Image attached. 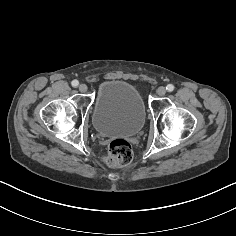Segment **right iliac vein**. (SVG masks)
I'll list each match as a JSON object with an SVG mask.
<instances>
[{"label": "right iliac vein", "instance_id": "1", "mask_svg": "<svg viewBox=\"0 0 236 236\" xmlns=\"http://www.w3.org/2000/svg\"><path fill=\"white\" fill-rule=\"evenodd\" d=\"M78 88H79V91L82 93H84L88 90V87L86 84H80Z\"/></svg>", "mask_w": 236, "mask_h": 236}]
</instances>
